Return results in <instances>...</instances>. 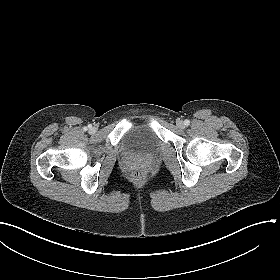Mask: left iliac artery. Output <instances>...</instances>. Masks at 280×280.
Instances as JSON below:
<instances>
[{
	"instance_id": "44dca946",
	"label": "left iliac artery",
	"mask_w": 280,
	"mask_h": 280,
	"mask_svg": "<svg viewBox=\"0 0 280 280\" xmlns=\"http://www.w3.org/2000/svg\"><path fill=\"white\" fill-rule=\"evenodd\" d=\"M184 124H185L186 126H188V125H190V121L186 119V120L184 121Z\"/></svg>"
}]
</instances>
